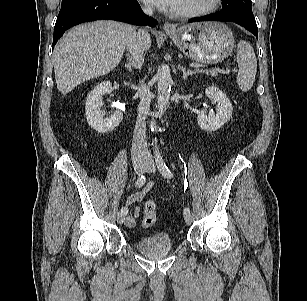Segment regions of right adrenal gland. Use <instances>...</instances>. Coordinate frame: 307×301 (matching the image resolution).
Returning a JSON list of instances; mask_svg holds the SVG:
<instances>
[{
    "label": "right adrenal gland",
    "instance_id": "right-adrenal-gland-1",
    "mask_svg": "<svg viewBox=\"0 0 307 301\" xmlns=\"http://www.w3.org/2000/svg\"><path fill=\"white\" fill-rule=\"evenodd\" d=\"M125 67L128 69L129 72H132L131 64L125 63Z\"/></svg>",
    "mask_w": 307,
    "mask_h": 301
}]
</instances>
